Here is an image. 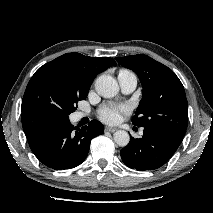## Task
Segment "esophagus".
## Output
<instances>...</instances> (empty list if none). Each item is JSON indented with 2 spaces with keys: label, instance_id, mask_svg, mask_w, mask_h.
I'll return each mask as SVG.
<instances>
[{
  "label": "esophagus",
  "instance_id": "obj_1",
  "mask_svg": "<svg viewBox=\"0 0 213 213\" xmlns=\"http://www.w3.org/2000/svg\"><path fill=\"white\" fill-rule=\"evenodd\" d=\"M105 131H108V132H115V131H117V129L116 128H112V127H106L105 128Z\"/></svg>",
  "mask_w": 213,
  "mask_h": 213
}]
</instances>
